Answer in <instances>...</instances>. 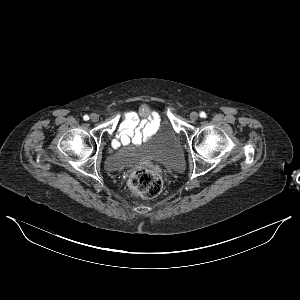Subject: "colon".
I'll return each mask as SVG.
<instances>
[{
	"mask_svg": "<svg viewBox=\"0 0 300 300\" xmlns=\"http://www.w3.org/2000/svg\"><path fill=\"white\" fill-rule=\"evenodd\" d=\"M128 185L134 194L151 198L161 192L163 182L155 168L142 166L130 173Z\"/></svg>",
	"mask_w": 300,
	"mask_h": 300,
	"instance_id": "obj_1",
	"label": "colon"
}]
</instances>
